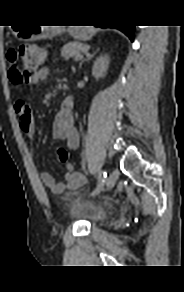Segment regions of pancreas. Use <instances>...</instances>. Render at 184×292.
<instances>
[{
    "instance_id": "obj_1",
    "label": "pancreas",
    "mask_w": 184,
    "mask_h": 292,
    "mask_svg": "<svg viewBox=\"0 0 184 292\" xmlns=\"http://www.w3.org/2000/svg\"><path fill=\"white\" fill-rule=\"evenodd\" d=\"M88 48V45L78 43V42H69L64 45L61 49V56L65 59H68L71 56L81 55Z\"/></svg>"
}]
</instances>
